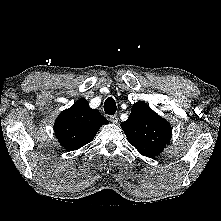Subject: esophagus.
<instances>
[{
	"label": "esophagus",
	"mask_w": 221,
	"mask_h": 221,
	"mask_svg": "<svg viewBox=\"0 0 221 221\" xmlns=\"http://www.w3.org/2000/svg\"><path fill=\"white\" fill-rule=\"evenodd\" d=\"M118 120H119L118 115H112V116H110V121H111L112 123H117Z\"/></svg>",
	"instance_id": "obj_1"
}]
</instances>
